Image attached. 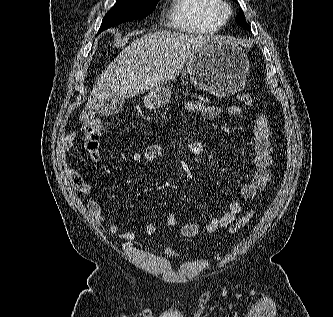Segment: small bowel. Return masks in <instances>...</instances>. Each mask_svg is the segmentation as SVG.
Masks as SVG:
<instances>
[{"label": "small bowel", "instance_id": "obj_1", "mask_svg": "<svg viewBox=\"0 0 333 317\" xmlns=\"http://www.w3.org/2000/svg\"><path fill=\"white\" fill-rule=\"evenodd\" d=\"M183 110L196 112L207 117H214L221 112V109L216 106H210L200 101H187L183 105ZM230 114L242 116V110L238 106H230L228 108ZM76 134H69L65 140V151L68 150L76 140ZM161 144H151L144 151L134 152L131 155V160L135 163L151 164L155 162L163 153ZM253 175L250 182L242 185L239 189L241 198L245 201L252 200L257 193L264 190L271 181L270 165L272 163V145L270 142V128L268 119L257 114L253 120ZM100 157L99 151H94L93 159L98 161ZM67 176L71 185L78 193L86 195L90 192L91 187L84 181L81 174L71 165L67 166ZM87 208L94 218L102 222L105 220V213L100 204L94 200H90ZM243 203L232 201L228 203L226 212L221 216L214 217L206 226L207 233H213L220 228L229 226L242 211ZM164 223L168 228H174L177 225V220L174 215L169 214L164 217ZM180 233L185 237L195 236L200 231V224L196 221L183 224L179 228ZM108 231L111 235L117 236L121 240L131 241L136 237L133 231H121L118 223L110 224ZM145 232L152 235L156 232V226L147 224Z\"/></svg>", "mask_w": 333, "mask_h": 317}]
</instances>
